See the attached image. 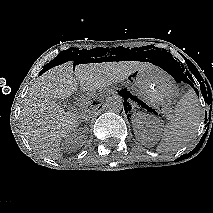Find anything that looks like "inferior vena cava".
<instances>
[{"instance_id":"1","label":"inferior vena cava","mask_w":213,"mask_h":213,"mask_svg":"<svg viewBox=\"0 0 213 213\" xmlns=\"http://www.w3.org/2000/svg\"><path fill=\"white\" fill-rule=\"evenodd\" d=\"M82 117L85 119V120H88L90 119L91 117L95 116L96 115V111L94 108L92 107H89V106H85L82 110Z\"/></svg>"}]
</instances>
